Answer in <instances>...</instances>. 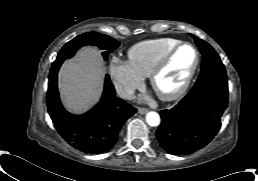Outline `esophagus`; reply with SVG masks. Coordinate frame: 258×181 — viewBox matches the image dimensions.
<instances>
[{"label":"esophagus","mask_w":258,"mask_h":181,"mask_svg":"<svg viewBox=\"0 0 258 181\" xmlns=\"http://www.w3.org/2000/svg\"><path fill=\"white\" fill-rule=\"evenodd\" d=\"M147 112H148L147 108H143V107L138 108V113H140V114H145Z\"/></svg>","instance_id":"1"}]
</instances>
